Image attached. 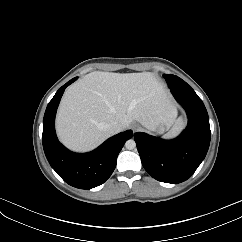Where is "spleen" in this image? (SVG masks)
<instances>
[{
    "instance_id": "3e777b00",
    "label": "spleen",
    "mask_w": 242,
    "mask_h": 242,
    "mask_svg": "<svg viewBox=\"0 0 242 242\" xmlns=\"http://www.w3.org/2000/svg\"><path fill=\"white\" fill-rule=\"evenodd\" d=\"M184 124L183 122H178L171 130L170 132L166 135V138H173L179 134V132L183 129Z\"/></svg>"
}]
</instances>
